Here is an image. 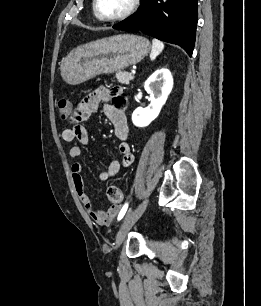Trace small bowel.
Returning <instances> with one entry per match:
<instances>
[{
  "mask_svg": "<svg viewBox=\"0 0 261 306\" xmlns=\"http://www.w3.org/2000/svg\"><path fill=\"white\" fill-rule=\"evenodd\" d=\"M103 106L105 115L111 121L114 127L115 136L120 140L119 152L121 160H113L107 169L98 171V179L106 181L117 175L121 167H129L134 161V155L127 142L129 127L127 117L124 111L125 97L120 87L106 88L99 87L81 100L70 114L72 126L62 131V139L66 142H77L85 146L89 142V135L86 127L82 124L99 106ZM68 154L71 158L83 157V151L80 146H72ZM71 175L78 198L83 203L86 212L91 219L100 226L110 225L117 216L120 206L111 205L106 211L96 209L90 201L86 192L84 181L81 174V165L73 163L71 165Z\"/></svg>",
  "mask_w": 261,
  "mask_h": 306,
  "instance_id": "small-bowel-1",
  "label": "small bowel"
}]
</instances>
